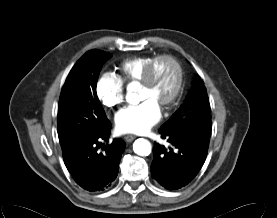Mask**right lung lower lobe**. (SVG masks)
Here are the masks:
<instances>
[{
  "label": "right lung lower lobe",
  "mask_w": 277,
  "mask_h": 218,
  "mask_svg": "<svg viewBox=\"0 0 277 218\" xmlns=\"http://www.w3.org/2000/svg\"><path fill=\"white\" fill-rule=\"evenodd\" d=\"M111 123L63 154L64 163L78 185L88 191H99L111 186L119 170L125 150L122 139L104 144L110 136Z\"/></svg>",
  "instance_id": "right-lung-lower-lobe-1"
}]
</instances>
